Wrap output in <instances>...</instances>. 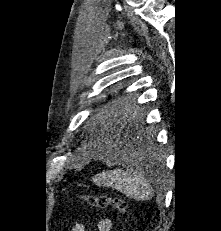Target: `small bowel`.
Segmentation results:
<instances>
[{
    "mask_svg": "<svg viewBox=\"0 0 221 231\" xmlns=\"http://www.w3.org/2000/svg\"><path fill=\"white\" fill-rule=\"evenodd\" d=\"M112 221L109 218H102L98 221L95 231H111ZM72 231H85L83 223H77Z\"/></svg>",
    "mask_w": 221,
    "mask_h": 231,
    "instance_id": "small-bowel-1",
    "label": "small bowel"
}]
</instances>
